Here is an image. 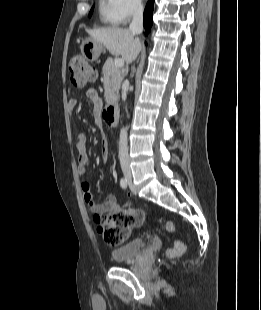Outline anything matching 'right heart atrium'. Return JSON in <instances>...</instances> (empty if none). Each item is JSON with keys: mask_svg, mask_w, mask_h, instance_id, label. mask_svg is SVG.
Here are the masks:
<instances>
[{"mask_svg": "<svg viewBox=\"0 0 261 310\" xmlns=\"http://www.w3.org/2000/svg\"><path fill=\"white\" fill-rule=\"evenodd\" d=\"M115 15L120 24H126L143 11L141 0H114Z\"/></svg>", "mask_w": 261, "mask_h": 310, "instance_id": "obj_1", "label": "right heart atrium"}]
</instances>
